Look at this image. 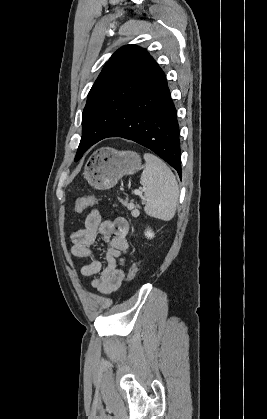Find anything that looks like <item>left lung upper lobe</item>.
<instances>
[{
	"label": "left lung upper lobe",
	"mask_w": 267,
	"mask_h": 419,
	"mask_svg": "<svg viewBox=\"0 0 267 419\" xmlns=\"http://www.w3.org/2000/svg\"><path fill=\"white\" fill-rule=\"evenodd\" d=\"M160 71L148 52L136 45L123 46L111 56L89 91L75 161L86 152L92 136L106 119L111 114L125 111Z\"/></svg>",
	"instance_id": "5c2ea615"
}]
</instances>
